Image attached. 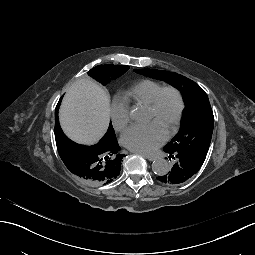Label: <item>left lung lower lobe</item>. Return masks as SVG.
Wrapping results in <instances>:
<instances>
[{
    "label": "left lung lower lobe",
    "mask_w": 255,
    "mask_h": 255,
    "mask_svg": "<svg viewBox=\"0 0 255 255\" xmlns=\"http://www.w3.org/2000/svg\"><path fill=\"white\" fill-rule=\"evenodd\" d=\"M174 152L176 153V151ZM171 161L174 163L173 169L167 174L159 176L157 178L159 183L170 182L171 184H182L183 182H186L188 178L194 176V174H198V169L191 161L185 158L182 153L175 154L173 157H171Z\"/></svg>",
    "instance_id": "obj_1"
}]
</instances>
